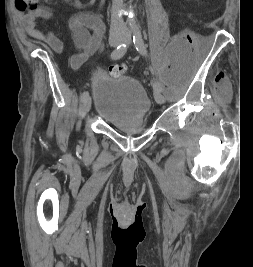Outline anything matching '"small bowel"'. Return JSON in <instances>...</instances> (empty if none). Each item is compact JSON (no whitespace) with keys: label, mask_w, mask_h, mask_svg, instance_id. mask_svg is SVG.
<instances>
[{"label":"small bowel","mask_w":253,"mask_h":267,"mask_svg":"<svg viewBox=\"0 0 253 267\" xmlns=\"http://www.w3.org/2000/svg\"><path fill=\"white\" fill-rule=\"evenodd\" d=\"M71 2L72 0H65ZM96 0H73L75 7H84L94 4ZM52 12L47 7H41L22 16V25L27 34L47 44L54 52L63 51V43L52 31L44 32L37 27L39 19H50ZM68 27L78 52L71 57L73 68L80 67L83 62L92 55L102 44L105 36V24L101 17L95 13L81 11L72 15L68 20Z\"/></svg>","instance_id":"1"}]
</instances>
